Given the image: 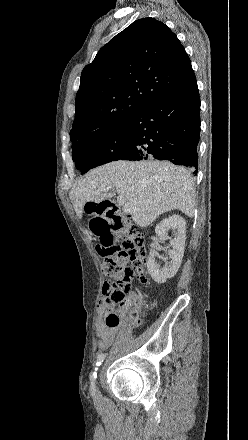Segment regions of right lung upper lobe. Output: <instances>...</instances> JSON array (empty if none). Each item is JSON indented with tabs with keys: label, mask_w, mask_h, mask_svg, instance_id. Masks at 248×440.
<instances>
[{
	"label": "right lung upper lobe",
	"mask_w": 248,
	"mask_h": 440,
	"mask_svg": "<svg viewBox=\"0 0 248 440\" xmlns=\"http://www.w3.org/2000/svg\"><path fill=\"white\" fill-rule=\"evenodd\" d=\"M195 83L184 47L165 24L154 18L133 22L82 71L72 146L115 129L149 102Z\"/></svg>",
	"instance_id": "1"
}]
</instances>
